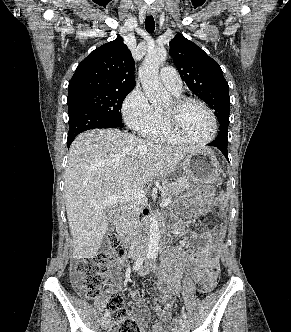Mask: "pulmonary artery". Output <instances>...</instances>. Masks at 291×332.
<instances>
[{
	"label": "pulmonary artery",
	"instance_id": "obj_1",
	"mask_svg": "<svg viewBox=\"0 0 291 332\" xmlns=\"http://www.w3.org/2000/svg\"><path fill=\"white\" fill-rule=\"evenodd\" d=\"M162 83L174 94H180L182 91V81L177 71L170 66L163 67L160 71Z\"/></svg>",
	"mask_w": 291,
	"mask_h": 332
}]
</instances>
